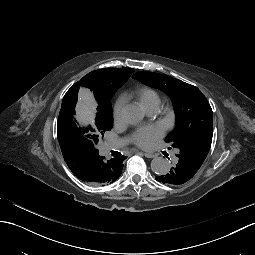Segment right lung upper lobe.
Masks as SVG:
<instances>
[{"label": "right lung upper lobe", "instance_id": "right-lung-upper-lobe-1", "mask_svg": "<svg viewBox=\"0 0 255 255\" xmlns=\"http://www.w3.org/2000/svg\"><path fill=\"white\" fill-rule=\"evenodd\" d=\"M131 68H103L85 75L75 83L65 94L62 106H76L78 94L81 101L95 105L101 101L110 100L114 93L121 87L132 74ZM65 162L72 173L86 183L105 186L115 182L122 173V162L126 157L120 156L109 160L98 153L96 147H91L87 153H77L73 148L61 147ZM96 166L100 173L97 181L89 178L91 168Z\"/></svg>", "mask_w": 255, "mask_h": 255}]
</instances>
